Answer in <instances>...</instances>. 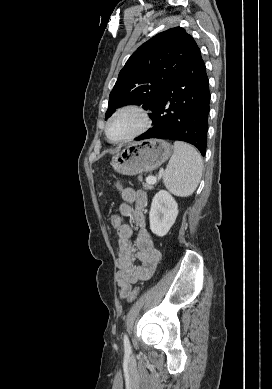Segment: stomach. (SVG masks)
Here are the masks:
<instances>
[{
	"mask_svg": "<svg viewBox=\"0 0 272 389\" xmlns=\"http://www.w3.org/2000/svg\"><path fill=\"white\" fill-rule=\"evenodd\" d=\"M172 146L161 139L133 143L112 158L111 165L122 175L134 176L151 172L169 159Z\"/></svg>",
	"mask_w": 272,
	"mask_h": 389,
	"instance_id": "1",
	"label": "stomach"
}]
</instances>
